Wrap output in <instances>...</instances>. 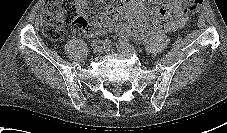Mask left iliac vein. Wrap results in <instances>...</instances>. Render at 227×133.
Masks as SVG:
<instances>
[{
  "label": "left iliac vein",
  "instance_id": "left-iliac-vein-1",
  "mask_svg": "<svg viewBox=\"0 0 227 133\" xmlns=\"http://www.w3.org/2000/svg\"><path fill=\"white\" fill-rule=\"evenodd\" d=\"M117 48L121 52H135V48L129 43L119 42Z\"/></svg>",
  "mask_w": 227,
  "mask_h": 133
}]
</instances>
